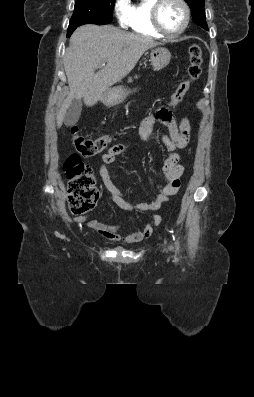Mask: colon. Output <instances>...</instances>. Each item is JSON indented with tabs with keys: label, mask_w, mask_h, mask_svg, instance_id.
I'll return each instance as SVG.
<instances>
[{
	"label": "colon",
	"mask_w": 254,
	"mask_h": 397,
	"mask_svg": "<svg viewBox=\"0 0 254 397\" xmlns=\"http://www.w3.org/2000/svg\"><path fill=\"white\" fill-rule=\"evenodd\" d=\"M189 64L186 78L179 83L169 99V106L176 107L197 81L202 72V50L199 45L193 44L189 51ZM72 143L76 153L70 155L64 168L67 177L68 205L75 215L88 212L99 200L100 192L92 168L84 163L81 157H91L101 153L111 142L107 134L97 138L87 137L79 132L78 127L71 128Z\"/></svg>",
	"instance_id": "5ec220e1"
}]
</instances>
